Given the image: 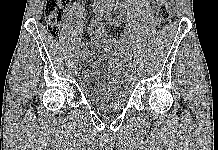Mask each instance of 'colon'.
Wrapping results in <instances>:
<instances>
[{"mask_svg": "<svg viewBox=\"0 0 218 150\" xmlns=\"http://www.w3.org/2000/svg\"><path fill=\"white\" fill-rule=\"evenodd\" d=\"M69 4V0H46L45 3V20L49 32L56 36L60 32V27L64 12ZM171 19V11L167 7H161L156 15V22L159 27L168 25ZM107 27L104 24H97L94 26V32L99 34H106Z\"/></svg>", "mask_w": 218, "mask_h": 150, "instance_id": "obj_1", "label": "colon"}]
</instances>
